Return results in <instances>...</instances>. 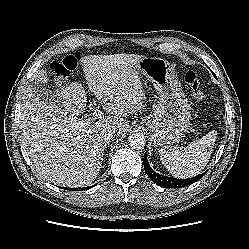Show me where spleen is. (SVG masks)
Listing matches in <instances>:
<instances>
[{
    "label": "spleen",
    "instance_id": "3e777b00",
    "mask_svg": "<svg viewBox=\"0 0 249 249\" xmlns=\"http://www.w3.org/2000/svg\"><path fill=\"white\" fill-rule=\"evenodd\" d=\"M216 135V131H210L183 149L163 147L159 150L160 160L174 177H194L207 165L215 145Z\"/></svg>",
    "mask_w": 249,
    "mask_h": 249
}]
</instances>
